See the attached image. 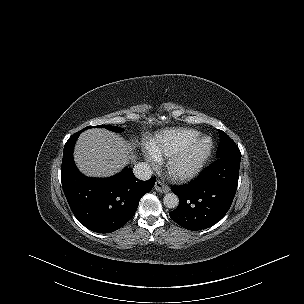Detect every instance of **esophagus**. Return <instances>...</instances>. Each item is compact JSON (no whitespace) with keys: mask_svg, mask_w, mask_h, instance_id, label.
Instances as JSON below:
<instances>
[{"mask_svg":"<svg viewBox=\"0 0 304 304\" xmlns=\"http://www.w3.org/2000/svg\"><path fill=\"white\" fill-rule=\"evenodd\" d=\"M154 188L156 191L161 192V193L169 192V187L159 180L155 182Z\"/></svg>","mask_w":304,"mask_h":304,"instance_id":"34e87169","label":"esophagus"}]
</instances>
